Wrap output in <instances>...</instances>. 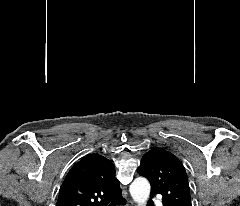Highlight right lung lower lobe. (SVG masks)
<instances>
[{"instance_id":"1","label":"right lung lower lobe","mask_w":240,"mask_h":206,"mask_svg":"<svg viewBox=\"0 0 240 206\" xmlns=\"http://www.w3.org/2000/svg\"><path fill=\"white\" fill-rule=\"evenodd\" d=\"M117 203H124L125 204V199L122 197L121 193L118 194L117 196L109 199L102 206H114Z\"/></svg>"}]
</instances>
